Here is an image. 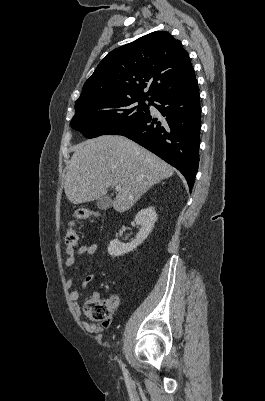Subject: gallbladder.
I'll list each match as a JSON object with an SVG mask.
<instances>
[{
  "label": "gallbladder",
  "mask_w": 265,
  "mask_h": 401,
  "mask_svg": "<svg viewBox=\"0 0 265 401\" xmlns=\"http://www.w3.org/2000/svg\"><path fill=\"white\" fill-rule=\"evenodd\" d=\"M111 203L112 198H110V196H101V198H98L97 207L101 209V211H107V209H110Z\"/></svg>",
  "instance_id": "obj_1"
}]
</instances>
